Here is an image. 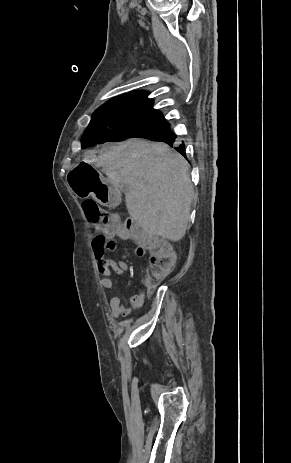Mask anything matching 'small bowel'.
Wrapping results in <instances>:
<instances>
[{
  "instance_id": "c3829d8e",
  "label": "small bowel",
  "mask_w": 291,
  "mask_h": 463,
  "mask_svg": "<svg viewBox=\"0 0 291 463\" xmlns=\"http://www.w3.org/2000/svg\"><path fill=\"white\" fill-rule=\"evenodd\" d=\"M91 248L94 254V258L97 263V270L100 275V285L113 293L110 298V311L114 318L127 316L144 304L145 296L142 291H139L136 295L130 298L127 305H124L121 298L114 293L115 285L113 282V275H124L127 271V263L121 259H107L105 257V251H117L118 245L113 240L112 236L103 235L96 236L91 241ZM135 254L137 256H143L144 252L138 247H135Z\"/></svg>"
}]
</instances>
